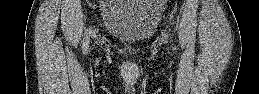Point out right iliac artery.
<instances>
[{
  "label": "right iliac artery",
  "instance_id": "obj_1",
  "mask_svg": "<svg viewBox=\"0 0 259 94\" xmlns=\"http://www.w3.org/2000/svg\"><path fill=\"white\" fill-rule=\"evenodd\" d=\"M90 34H91V30L89 28V29L86 30L84 38H83V51H84V53H86L88 51V48H89Z\"/></svg>",
  "mask_w": 259,
  "mask_h": 94
}]
</instances>
